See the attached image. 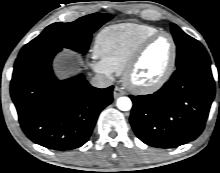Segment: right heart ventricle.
<instances>
[{
    "label": "right heart ventricle",
    "instance_id": "e07e8e85",
    "mask_svg": "<svg viewBox=\"0 0 220 173\" xmlns=\"http://www.w3.org/2000/svg\"><path fill=\"white\" fill-rule=\"evenodd\" d=\"M157 32L159 29L147 24L123 23L109 26L97 36L96 54L109 69L121 74L137 46Z\"/></svg>",
    "mask_w": 220,
    "mask_h": 173
}]
</instances>
